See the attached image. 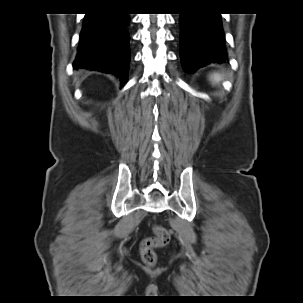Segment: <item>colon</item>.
Listing matches in <instances>:
<instances>
[{
    "label": "colon",
    "mask_w": 303,
    "mask_h": 303,
    "mask_svg": "<svg viewBox=\"0 0 303 303\" xmlns=\"http://www.w3.org/2000/svg\"><path fill=\"white\" fill-rule=\"evenodd\" d=\"M153 232L154 236L144 240L140 248L142 261L148 266H153L156 263V250L164 248L170 241V234L165 228L156 225Z\"/></svg>",
    "instance_id": "obj_1"
}]
</instances>
